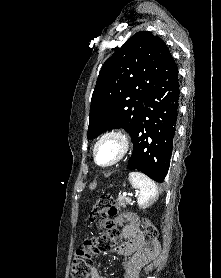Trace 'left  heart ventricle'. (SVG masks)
<instances>
[{"label":"left heart ventricle","mask_w":221,"mask_h":278,"mask_svg":"<svg viewBox=\"0 0 221 278\" xmlns=\"http://www.w3.org/2000/svg\"><path fill=\"white\" fill-rule=\"evenodd\" d=\"M119 152V142L114 138H107L98 145L96 156L99 163L109 164L118 157Z\"/></svg>","instance_id":"left-heart-ventricle-1"}]
</instances>
